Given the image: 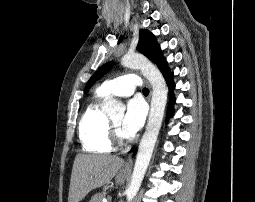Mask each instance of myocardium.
I'll use <instances>...</instances> for the list:
<instances>
[{"mask_svg":"<svg viewBox=\"0 0 255 202\" xmlns=\"http://www.w3.org/2000/svg\"><path fill=\"white\" fill-rule=\"evenodd\" d=\"M109 127L111 142L118 146H123L128 141V137L121 134L119 128L112 122V120L109 121Z\"/></svg>","mask_w":255,"mask_h":202,"instance_id":"myocardium-1","label":"myocardium"}]
</instances>
